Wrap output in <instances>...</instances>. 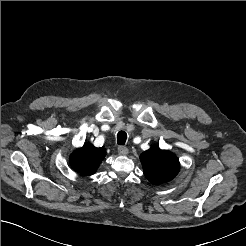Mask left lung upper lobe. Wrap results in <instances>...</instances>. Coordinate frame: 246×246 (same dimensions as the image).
<instances>
[{"label": "left lung upper lobe", "mask_w": 246, "mask_h": 246, "mask_svg": "<svg viewBox=\"0 0 246 246\" xmlns=\"http://www.w3.org/2000/svg\"><path fill=\"white\" fill-rule=\"evenodd\" d=\"M146 178L153 184L172 180L179 172L180 164L175 154L152 146L140 155Z\"/></svg>", "instance_id": "left-lung-upper-lobe-1"}]
</instances>
